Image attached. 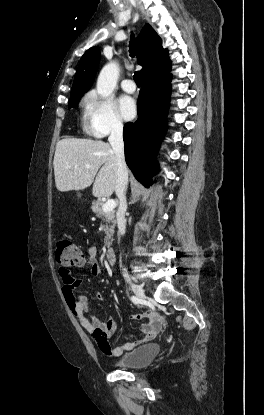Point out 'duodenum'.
<instances>
[{
    "mask_svg": "<svg viewBox=\"0 0 264 415\" xmlns=\"http://www.w3.org/2000/svg\"><path fill=\"white\" fill-rule=\"evenodd\" d=\"M106 262L110 266L115 264V251L113 247L108 248L106 251Z\"/></svg>",
    "mask_w": 264,
    "mask_h": 415,
    "instance_id": "1",
    "label": "duodenum"
}]
</instances>
